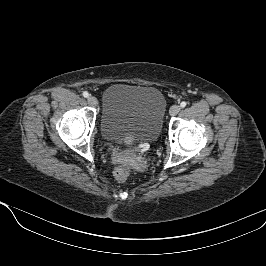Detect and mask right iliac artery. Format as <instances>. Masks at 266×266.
I'll list each match as a JSON object with an SVG mask.
<instances>
[{
	"instance_id": "82829eb1",
	"label": "right iliac artery",
	"mask_w": 266,
	"mask_h": 266,
	"mask_svg": "<svg viewBox=\"0 0 266 266\" xmlns=\"http://www.w3.org/2000/svg\"><path fill=\"white\" fill-rule=\"evenodd\" d=\"M83 96L87 98L89 96V93L85 91L83 92Z\"/></svg>"
}]
</instances>
